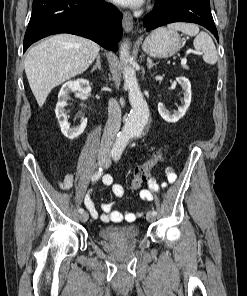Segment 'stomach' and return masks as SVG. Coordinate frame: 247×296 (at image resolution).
<instances>
[{
	"instance_id": "0dacf381",
	"label": "stomach",
	"mask_w": 247,
	"mask_h": 296,
	"mask_svg": "<svg viewBox=\"0 0 247 296\" xmlns=\"http://www.w3.org/2000/svg\"><path fill=\"white\" fill-rule=\"evenodd\" d=\"M182 47L179 34L166 28L154 30L143 42V51L151 57L168 58Z\"/></svg>"
}]
</instances>
